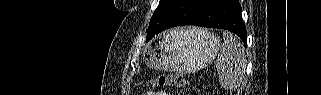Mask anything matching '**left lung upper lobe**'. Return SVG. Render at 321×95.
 <instances>
[{
	"label": "left lung upper lobe",
	"mask_w": 321,
	"mask_h": 95,
	"mask_svg": "<svg viewBox=\"0 0 321 95\" xmlns=\"http://www.w3.org/2000/svg\"><path fill=\"white\" fill-rule=\"evenodd\" d=\"M175 0H160L159 5L156 8L147 30V37H149L158 27V24L162 21L170 7ZM147 39V38H146Z\"/></svg>",
	"instance_id": "5c2ea615"
}]
</instances>
